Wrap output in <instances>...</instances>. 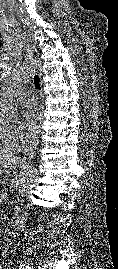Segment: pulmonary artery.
Returning <instances> with one entry per match:
<instances>
[{
    "instance_id": "e3ab8cb5",
    "label": "pulmonary artery",
    "mask_w": 118,
    "mask_h": 269,
    "mask_svg": "<svg viewBox=\"0 0 118 269\" xmlns=\"http://www.w3.org/2000/svg\"><path fill=\"white\" fill-rule=\"evenodd\" d=\"M37 100H38V97L35 94V92L32 90H28L24 92L19 99L20 103L24 106L32 105L36 103Z\"/></svg>"
}]
</instances>
